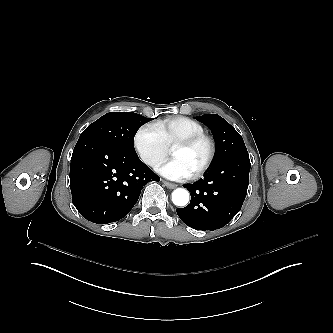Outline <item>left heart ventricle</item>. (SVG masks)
<instances>
[{
	"label": "left heart ventricle",
	"instance_id": "obj_1",
	"mask_svg": "<svg viewBox=\"0 0 333 333\" xmlns=\"http://www.w3.org/2000/svg\"><path fill=\"white\" fill-rule=\"evenodd\" d=\"M206 154L207 147L204 144L193 148L175 147L170 151L171 158L183 163L192 173L201 165Z\"/></svg>",
	"mask_w": 333,
	"mask_h": 333
}]
</instances>
